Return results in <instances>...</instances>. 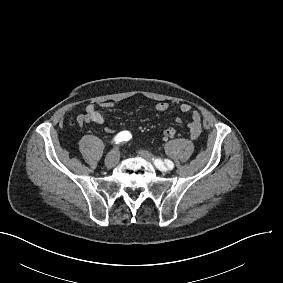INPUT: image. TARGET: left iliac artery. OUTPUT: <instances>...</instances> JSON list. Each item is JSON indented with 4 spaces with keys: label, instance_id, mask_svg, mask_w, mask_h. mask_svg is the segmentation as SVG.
Wrapping results in <instances>:
<instances>
[{
    "label": "left iliac artery",
    "instance_id": "obj_1",
    "mask_svg": "<svg viewBox=\"0 0 283 283\" xmlns=\"http://www.w3.org/2000/svg\"><path fill=\"white\" fill-rule=\"evenodd\" d=\"M165 163H166V165H167L170 169H173L174 164H173L172 161H170V160H165ZM160 164H161V162H160L159 160H156V161H155L156 167L160 166Z\"/></svg>",
    "mask_w": 283,
    "mask_h": 283
}]
</instances>
